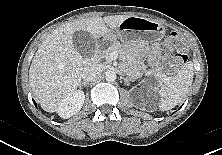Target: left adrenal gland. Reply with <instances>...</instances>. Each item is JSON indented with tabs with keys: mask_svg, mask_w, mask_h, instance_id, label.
Returning <instances> with one entry per match:
<instances>
[{
	"mask_svg": "<svg viewBox=\"0 0 222 155\" xmlns=\"http://www.w3.org/2000/svg\"><path fill=\"white\" fill-rule=\"evenodd\" d=\"M131 79L130 78H125V81L129 82Z\"/></svg>",
	"mask_w": 222,
	"mask_h": 155,
	"instance_id": "1",
	"label": "left adrenal gland"
}]
</instances>
